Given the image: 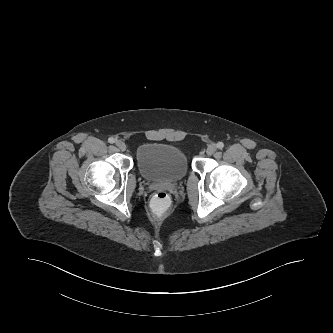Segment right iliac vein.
<instances>
[{
    "label": "right iliac vein",
    "instance_id": "obj_1",
    "mask_svg": "<svg viewBox=\"0 0 333 333\" xmlns=\"http://www.w3.org/2000/svg\"><path fill=\"white\" fill-rule=\"evenodd\" d=\"M115 145L121 151H125L126 150V144L123 141H121V140H117L115 142Z\"/></svg>",
    "mask_w": 333,
    "mask_h": 333
}]
</instances>
